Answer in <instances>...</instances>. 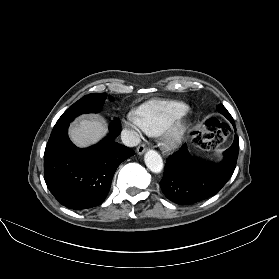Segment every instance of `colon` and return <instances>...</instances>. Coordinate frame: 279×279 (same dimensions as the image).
<instances>
[{"mask_svg": "<svg viewBox=\"0 0 279 279\" xmlns=\"http://www.w3.org/2000/svg\"><path fill=\"white\" fill-rule=\"evenodd\" d=\"M229 126L217 117L209 118L196 132L194 143L200 148L212 150L226 139Z\"/></svg>", "mask_w": 279, "mask_h": 279, "instance_id": "5ec220e1", "label": "colon"}]
</instances>
